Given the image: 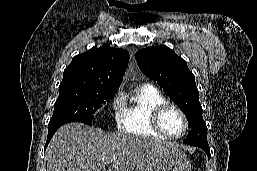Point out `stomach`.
Masks as SVG:
<instances>
[{
	"label": "stomach",
	"instance_id": "obj_1",
	"mask_svg": "<svg viewBox=\"0 0 257 171\" xmlns=\"http://www.w3.org/2000/svg\"><path fill=\"white\" fill-rule=\"evenodd\" d=\"M135 171H192L187 156L178 148L158 147L144 153Z\"/></svg>",
	"mask_w": 257,
	"mask_h": 171
}]
</instances>
